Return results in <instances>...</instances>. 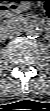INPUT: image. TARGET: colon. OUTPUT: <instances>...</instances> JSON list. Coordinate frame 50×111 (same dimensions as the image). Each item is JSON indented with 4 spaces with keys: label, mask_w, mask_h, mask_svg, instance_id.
<instances>
[{
    "label": "colon",
    "mask_w": 50,
    "mask_h": 111,
    "mask_svg": "<svg viewBox=\"0 0 50 111\" xmlns=\"http://www.w3.org/2000/svg\"><path fill=\"white\" fill-rule=\"evenodd\" d=\"M43 9H44L45 13H47V14L50 13V3H48V2L44 3Z\"/></svg>",
    "instance_id": "1"
}]
</instances>
